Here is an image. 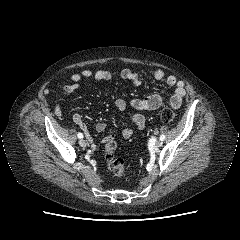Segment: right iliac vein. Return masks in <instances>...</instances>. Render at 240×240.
<instances>
[{
    "label": "right iliac vein",
    "mask_w": 240,
    "mask_h": 240,
    "mask_svg": "<svg viewBox=\"0 0 240 240\" xmlns=\"http://www.w3.org/2000/svg\"><path fill=\"white\" fill-rule=\"evenodd\" d=\"M79 144H80L81 147H86V146L88 145L87 141L84 140V139H81V140L79 141Z\"/></svg>",
    "instance_id": "obj_1"
}]
</instances>
